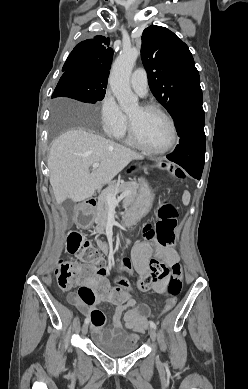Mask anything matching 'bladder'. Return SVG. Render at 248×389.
I'll use <instances>...</instances> for the list:
<instances>
[{
	"label": "bladder",
	"mask_w": 248,
	"mask_h": 389,
	"mask_svg": "<svg viewBox=\"0 0 248 389\" xmlns=\"http://www.w3.org/2000/svg\"><path fill=\"white\" fill-rule=\"evenodd\" d=\"M92 342L96 348L111 357H122L137 350V342L124 333L110 334L106 330L95 331Z\"/></svg>",
	"instance_id": "obj_1"
}]
</instances>
